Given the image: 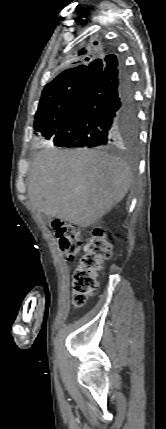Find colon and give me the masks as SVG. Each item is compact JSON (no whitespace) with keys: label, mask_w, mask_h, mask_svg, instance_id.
<instances>
[{"label":"colon","mask_w":166,"mask_h":429,"mask_svg":"<svg viewBox=\"0 0 166 429\" xmlns=\"http://www.w3.org/2000/svg\"><path fill=\"white\" fill-rule=\"evenodd\" d=\"M61 251L67 258H74L82 250L79 228L69 222L53 224ZM111 243L103 228L96 227L84 247L72 279V303L83 306L97 287V273L111 256Z\"/></svg>","instance_id":"1"}]
</instances>
